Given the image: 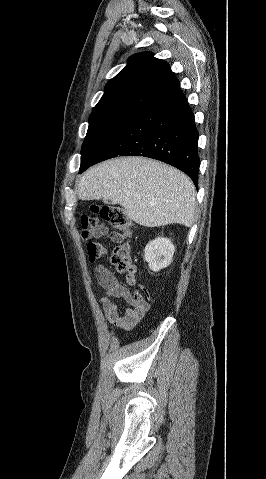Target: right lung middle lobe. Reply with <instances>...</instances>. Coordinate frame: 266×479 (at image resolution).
Instances as JSON below:
<instances>
[{"label":"right lung middle lobe","instance_id":"obj_1","mask_svg":"<svg viewBox=\"0 0 266 479\" xmlns=\"http://www.w3.org/2000/svg\"><path fill=\"white\" fill-rule=\"evenodd\" d=\"M139 113L118 110L89 117V128L81 149L79 172L89 168L106 145Z\"/></svg>","mask_w":266,"mask_h":479}]
</instances>
